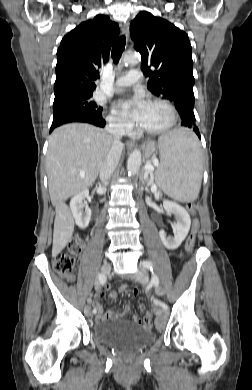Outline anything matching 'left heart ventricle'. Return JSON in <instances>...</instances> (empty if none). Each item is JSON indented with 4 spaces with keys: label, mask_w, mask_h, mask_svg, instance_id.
I'll return each mask as SVG.
<instances>
[{
    "label": "left heart ventricle",
    "mask_w": 252,
    "mask_h": 390,
    "mask_svg": "<svg viewBox=\"0 0 252 390\" xmlns=\"http://www.w3.org/2000/svg\"><path fill=\"white\" fill-rule=\"evenodd\" d=\"M170 119L171 115L166 106L160 103H147L139 125L147 130H155L165 127Z\"/></svg>",
    "instance_id": "obj_1"
}]
</instances>
